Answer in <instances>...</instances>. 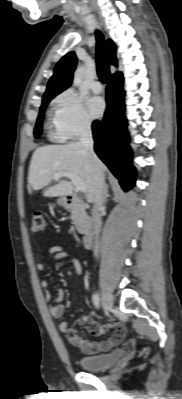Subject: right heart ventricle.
Instances as JSON below:
<instances>
[{"label": "right heart ventricle", "mask_w": 182, "mask_h": 399, "mask_svg": "<svg viewBox=\"0 0 182 399\" xmlns=\"http://www.w3.org/2000/svg\"><path fill=\"white\" fill-rule=\"evenodd\" d=\"M50 124L54 125V119L53 118L50 119Z\"/></svg>", "instance_id": "1"}]
</instances>
